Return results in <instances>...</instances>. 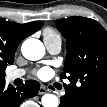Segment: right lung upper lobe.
Here are the masks:
<instances>
[{"instance_id":"obj_1","label":"right lung upper lobe","mask_w":107,"mask_h":107,"mask_svg":"<svg viewBox=\"0 0 107 107\" xmlns=\"http://www.w3.org/2000/svg\"><path fill=\"white\" fill-rule=\"evenodd\" d=\"M42 22L17 24L0 20V81L4 80L5 69L13 64L15 51L24 38L33 34Z\"/></svg>"}]
</instances>
